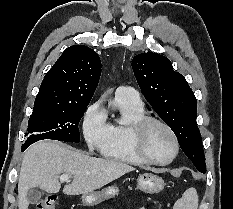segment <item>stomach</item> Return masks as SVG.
I'll return each mask as SVG.
<instances>
[{"label": "stomach", "instance_id": "1", "mask_svg": "<svg viewBox=\"0 0 233 209\" xmlns=\"http://www.w3.org/2000/svg\"><path fill=\"white\" fill-rule=\"evenodd\" d=\"M165 186L164 180L156 174L143 173L137 179V188L143 192L154 194L160 192ZM119 189L110 186L102 191L83 194L81 199L85 206H96L101 202L118 195Z\"/></svg>", "mask_w": 233, "mask_h": 209}]
</instances>
